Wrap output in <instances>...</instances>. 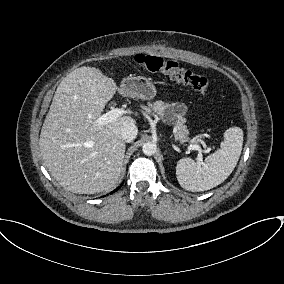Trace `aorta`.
Here are the masks:
<instances>
[{
    "mask_svg": "<svg viewBox=\"0 0 284 284\" xmlns=\"http://www.w3.org/2000/svg\"><path fill=\"white\" fill-rule=\"evenodd\" d=\"M157 145L153 142H146L142 147V151L145 155L151 156L156 153Z\"/></svg>",
    "mask_w": 284,
    "mask_h": 284,
    "instance_id": "1",
    "label": "aorta"
}]
</instances>
